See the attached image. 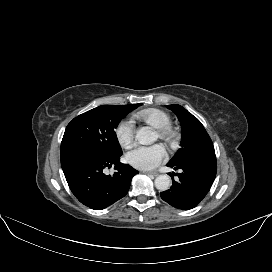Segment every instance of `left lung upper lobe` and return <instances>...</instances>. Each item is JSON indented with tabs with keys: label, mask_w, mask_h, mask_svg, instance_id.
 <instances>
[{
	"label": "left lung upper lobe",
	"mask_w": 272,
	"mask_h": 272,
	"mask_svg": "<svg viewBox=\"0 0 272 272\" xmlns=\"http://www.w3.org/2000/svg\"><path fill=\"white\" fill-rule=\"evenodd\" d=\"M167 108L176 113L182 127L181 148L168 164L176 165L190 156L214 149L211 138L195 116L177 104L167 105Z\"/></svg>",
	"instance_id": "left-lung-upper-lobe-1"
}]
</instances>
